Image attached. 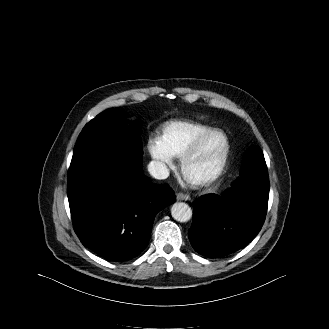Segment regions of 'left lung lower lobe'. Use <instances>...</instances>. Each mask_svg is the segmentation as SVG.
I'll return each instance as SVG.
<instances>
[{
  "label": "left lung lower lobe",
  "instance_id": "1",
  "mask_svg": "<svg viewBox=\"0 0 329 329\" xmlns=\"http://www.w3.org/2000/svg\"><path fill=\"white\" fill-rule=\"evenodd\" d=\"M269 198L267 167H243L242 175L223 195L199 197L188 232L196 252L222 257L248 245L265 221Z\"/></svg>",
  "mask_w": 329,
  "mask_h": 329
}]
</instances>
